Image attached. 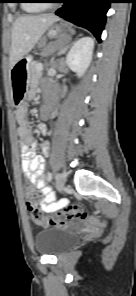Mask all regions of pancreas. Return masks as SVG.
<instances>
[{
    "label": "pancreas",
    "instance_id": "cf45deb5",
    "mask_svg": "<svg viewBox=\"0 0 136 296\" xmlns=\"http://www.w3.org/2000/svg\"><path fill=\"white\" fill-rule=\"evenodd\" d=\"M39 65L40 64L36 62L31 63V75L33 78H37L41 75V72L37 69Z\"/></svg>",
    "mask_w": 136,
    "mask_h": 296
}]
</instances>
